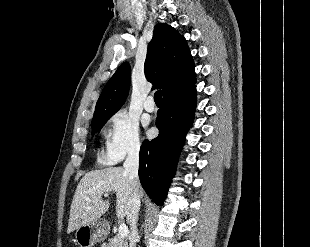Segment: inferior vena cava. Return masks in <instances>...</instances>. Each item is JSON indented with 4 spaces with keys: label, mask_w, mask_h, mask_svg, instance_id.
Returning a JSON list of instances; mask_svg holds the SVG:
<instances>
[{
    "label": "inferior vena cava",
    "mask_w": 310,
    "mask_h": 247,
    "mask_svg": "<svg viewBox=\"0 0 310 247\" xmlns=\"http://www.w3.org/2000/svg\"><path fill=\"white\" fill-rule=\"evenodd\" d=\"M139 150L140 147L136 146L128 152V156L124 162V171L129 178L130 191H131V210L128 216L130 225V247H136L138 242L137 219L140 210V182L138 177L139 169Z\"/></svg>",
    "instance_id": "1"
}]
</instances>
